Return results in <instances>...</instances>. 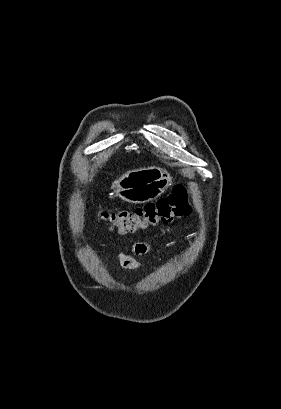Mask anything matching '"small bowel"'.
Returning a JSON list of instances; mask_svg holds the SVG:
<instances>
[{
    "label": "small bowel",
    "mask_w": 281,
    "mask_h": 409,
    "mask_svg": "<svg viewBox=\"0 0 281 409\" xmlns=\"http://www.w3.org/2000/svg\"><path fill=\"white\" fill-rule=\"evenodd\" d=\"M148 250L149 245L145 242H137L130 247V251L136 255L145 254ZM118 259L121 267L127 270L139 269L142 266L141 263L129 253V251L120 252L118 254Z\"/></svg>",
    "instance_id": "obj_1"
}]
</instances>
